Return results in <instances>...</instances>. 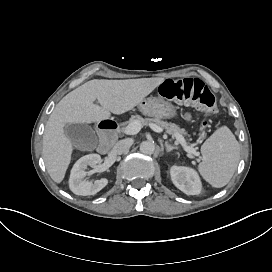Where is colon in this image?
Returning <instances> with one entry per match:
<instances>
[{
    "mask_svg": "<svg viewBox=\"0 0 272 272\" xmlns=\"http://www.w3.org/2000/svg\"><path fill=\"white\" fill-rule=\"evenodd\" d=\"M160 95L167 100L202 107L207 116L215 114L217 110L216 96L200 78L166 80L160 86ZM208 123L204 121L201 129L204 130Z\"/></svg>",
    "mask_w": 272,
    "mask_h": 272,
    "instance_id": "1",
    "label": "colon"
}]
</instances>
